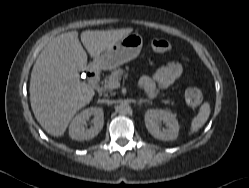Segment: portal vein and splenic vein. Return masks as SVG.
Masks as SVG:
<instances>
[{"mask_svg":"<svg viewBox=\"0 0 249 188\" xmlns=\"http://www.w3.org/2000/svg\"><path fill=\"white\" fill-rule=\"evenodd\" d=\"M109 87H111V88H118V87H120V82L119 81H115V82L111 83L109 85Z\"/></svg>","mask_w":249,"mask_h":188,"instance_id":"1","label":"portal vein and splenic vein"}]
</instances>
